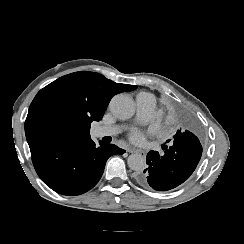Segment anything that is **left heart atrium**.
Returning a JSON list of instances; mask_svg holds the SVG:
<instances>
[{
    "label": "left heart atrium",
    "mask_w": 244,
    "mask_h": 244,
    "mask_svg": "<svg viewBox=\"0 0 244 244\" xmlns=\"http://www.w3.org/2000/svg\"><path fill=\"white\" fill-rule=\"evenodd\" d=\"M130 139L134 143H139L143 140V134L139 131H135L131 134Z\"/></svg>",
    "instance_id": "39dd6f15"
}]
</instances>
